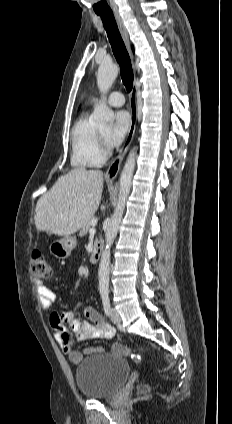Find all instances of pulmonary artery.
I'll return each instance as SVG.
<instances>
[{"mask_svg":"<svg viewBox=\"0 0 232 424\" xmlns=\"http://www.w3.org/2000/svg\"><path fill=\"white\" fill-rule=\"evenodd\" d=\"M107 103L114 107H120L125 103V97L121 92H112L107 99Z\"/></svg>","mask_w":232,"mask_h":424,"instance_id":"1","label":"pulmonary artery"}]
</instances>
